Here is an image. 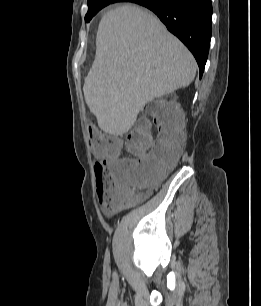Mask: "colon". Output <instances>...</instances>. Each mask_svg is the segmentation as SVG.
Returning <instances> with one entry per match:
<instances>
[{"instance_id":"obj_1","label":"colon","mask_w":261,"mask_h":306,"mask_svg":"<svg viewBox=\"0 0 261 306\" xmlns=\"http://www.w3.org/2000/svg\"><path fill=\"white\" fill-rule=\"evenodd\" d=\"M152 124L158 130L155 140ZM183 124L181 115L173 107L161 101L151 102L146 117L127 137V148L136 157L123 159L116 155L117 139L95 135L89 127L93 150L111 158L109 167L100 162L94 164L101 205L111 209L125 202L132 188L157 184L180 157Z\"/></svg>"}]
</instances>
